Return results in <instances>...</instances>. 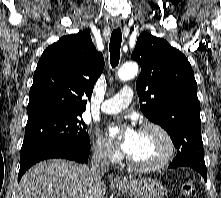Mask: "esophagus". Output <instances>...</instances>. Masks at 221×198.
Masks as SVG:
<instances>
[{
	"instance_id": "obj_1",
	"label": "esophagus",
	"mask_w": 221,
	"mask_h": 198,
	"mask_svg": "<svg viewBox=\"0 0 221 198\" xmlns=\"http://www.w3.org/2000/svg\"><path fill=\"white\" fill-rule=\"evenodd\" d=\"M120 27V24H113V28H115V29H117V28H119ZM114 181L115 182H118V183H121V182H123L124 180H123V178L121 177V176H115L114 177Z\"/></svg>"
}]
</instances>
